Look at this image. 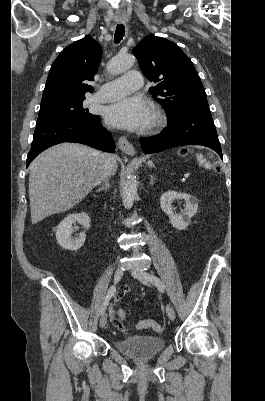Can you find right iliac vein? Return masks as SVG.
Here are the masks:
<instances>
[{
  "mask_svg": "<svg viewBox=\"0 0 265 401\" xmlns=\"http://www.w3.org/2000/svg\"><path fill=\"white\" fill-rule=\"evenodd\" d=\"M124 271L122 268H118L116 269L115 273H114V282L118 283L122 277H123ZM107 323V315L105 313L102 314L101 318H100V327L103 328L105 327Z\"/></svg>",
  "mask_w": 265,
  "mask_h": 401,
  "instance_id": "63e3f726",
  "label": "right iliac vein"
}]
</instances>
